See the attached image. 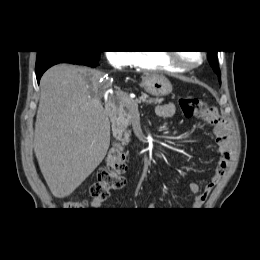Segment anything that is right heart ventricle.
<instances>
[{
	"label": "right heart ventricle",
	"mask_w": 260,
	"mask_h": 260,
	"mask_svg": "<svg viewBox=\"0 0 260 260\" xmlns=\"http://www.w3.org/2000/svg\"><path fill=\"white\" fill-rule=\"evenodd\" d=\"M133 65L140 69L165 71L171 73L181 72V69L173 66L161 51L140 50L133 53Z\"/></svg>",
	"instance_id": "right-heart-ventricle-1"
}]
</instances>
